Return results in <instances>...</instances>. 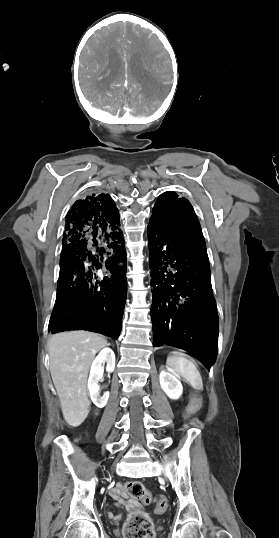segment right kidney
<instances>
[{"mask_svg":"<svg viewBox=\"0 0 279 538\" xmlns=\"http://www.w3.org/2000/svg\"><path fill=\"white\" fill-rule=\"evenodd\" d=\"M105 362L107 372H113L115 368V354L113 350H110V348H104V350H101L100 354H98L97 358H95L90 370L88 390L90 392L91 400L93 404L97 406V408H104L109 398L108 392H105L104 396H99L100 388L98 386V382L103 376L104 370L102 368V364H105Z\"/></svg>","mask_w":279,"mask_h":538,"instance_id":"right-kidney-1","label":"right kidney"}]
</instances>
